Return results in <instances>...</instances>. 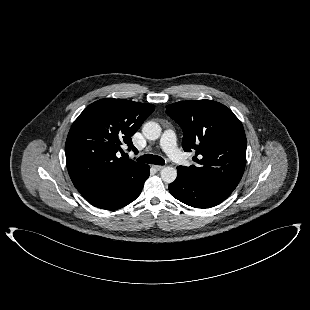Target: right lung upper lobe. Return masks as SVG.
<instances>
[{
  "mask_svg": "<svg viewBox=\"0 0 310 310\" xmlns=\"http://www.w3.org/2000/svg\"><path fill=\"white\" fill-rule=\"evenodd\" d=\"M155 107L125 99L105 98L88 107L74 121L65 144L70 178L84 198L130 187L146 164L116 156L128 150L137 152L131 136L152 114Z\"/></svg>",
  "mask_w": 310,
  "mask_h": 310,
  "instance_id": "right-lung-upper-lobe-1",
  "label": "right lung upper lobe"
}]
</instances>
